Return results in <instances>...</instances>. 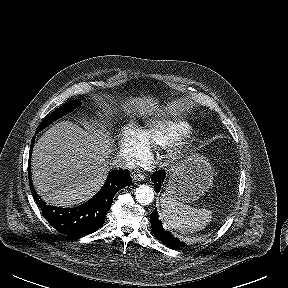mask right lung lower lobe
Instances as JSON below:
<instances>
[{"label":"right lung lower lobe","instance_id":"right-lung-lower-lobe-1","mask_svg":"<svg viewBox=\"0 0 288 288\" xmlns=\"http://www.w3.org/2000/svg\"><path fill=\"white\" fill-rule=\"evenodd\" d=\"M36 132H39L37 129ZM35 142L32 139L29 154V180L31 181V154ZM132 184L128 170H115L109 173L105 184L90 200L74 208H58L46 205L38 197L32 182L30 188L33 198L40 206L45 219L60 233L70 238H79L97 231L105 222L114 195L122 188Z\"/></svg>","mask_w":288,"mask_h":288}]
</instances>
